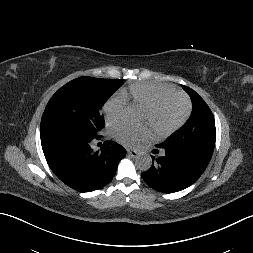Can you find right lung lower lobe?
Returning <instances> with one entry per match:
<instances>
[{
    "label": "right lung lower lobe",
    "instance_id": "1",
    "mask_svg": "<svg viewBox=\"0 0 253 253\" xmlns=\"http://www.w3.org/2000/svg\"><path fill=\"white\" fill-rule=\"evenodd\" d=\"M94 139L100 137L91 139L53 132L41 135L51 170L79 192H91L108 184L126 155L125 148L114 141H105L100 151H93L90 144Z\"/></svg>",
    "mask_w": 253,
    "mask_h": 253
}]
</instances>
